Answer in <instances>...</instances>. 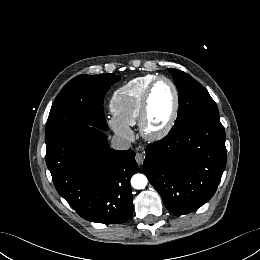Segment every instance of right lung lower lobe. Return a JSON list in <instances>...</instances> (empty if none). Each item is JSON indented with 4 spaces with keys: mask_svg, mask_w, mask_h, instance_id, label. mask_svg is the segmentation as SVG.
Returning a JSON list of instances; mask_svg holds the SVG:
<instances>
[{
    "mask_svg": "<svg viewBox=\"0 0 260 260\" xmlns=\"http://www.w3.org/2000/svg\"><path fill=\"white\" fill-rule=\"evenodd\" d=\"M46 163L56 190L82 218L115 224L132 216L135 153L109 148L102 131L82 126L69 132L46 152Z\"/></svg>",
    "mask_w": 260,
    "mask_h": 260,
    "instance_id": "right-lung-lower-lobe-1",
    "label": "right lung lower lobe"
}]
</instances>
